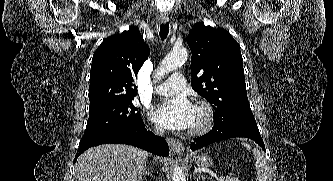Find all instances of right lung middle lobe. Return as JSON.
Listing matches in <instances>:
<instances>
[{"label":"right lung middle lobe","instance_id":"right-lung-middle-lobe-1","mask_svg":"<svg viewBox=\"0 0 333 181\" xmlns=\"http://www.w3.org/2000/svg\"><path fill=\"white\" fill-rule=\"evenodd\" d=\"M133 98H126L89 108V119L82 138H90L112 132L126 131L143 120L132 104Z\"/></svg>","mask_w":333,"mask_h":181}]
</instances>
